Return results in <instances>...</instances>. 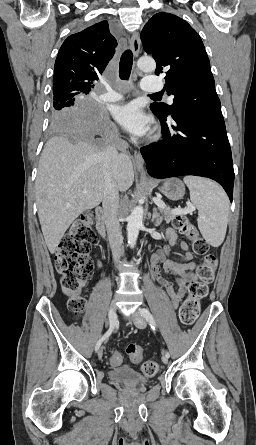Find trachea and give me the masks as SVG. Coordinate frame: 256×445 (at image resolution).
I'll use <instances>...</instances> for the list:
<instances>
[{"mask_svg":"<svg viewBox=\"0 0 256 445\" xmlns=\"http://www.w3.org/2000/svg\"><path fill=\"white\" fill-rule=\"evenodd\" d=\"M133 64V54L130 50H126L120 59L119 65V77L121 80H128L131 74ZM153 97H162V94L155 93L152 94Z\"/></svg>","mask_w":256,"mask_h":445,"instance_id":"trachea-1","label":"trachea"}]
</instances>
